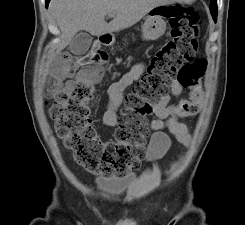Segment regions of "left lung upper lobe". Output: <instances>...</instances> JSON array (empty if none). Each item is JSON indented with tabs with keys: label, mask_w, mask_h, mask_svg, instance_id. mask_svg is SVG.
I'll use <instances>...</instances> for the list:
<instances>
[{
	"label": "left lung upper lobe",
	"mask_w": 245,
	"mask_h": 225,
	"mask_svg": "<svg viewBox=\"0 0 245 225\" xmlns=\"http://www.w3.org/2000/svg\"><path fill=\"white\" fill-rule=\"evenodd\" d=\"M210 12H211V15L214 21H216L217 19V0H211Z\"/></svg>",
	"instance_id": "5c2ea615"
}]
</instances>
